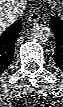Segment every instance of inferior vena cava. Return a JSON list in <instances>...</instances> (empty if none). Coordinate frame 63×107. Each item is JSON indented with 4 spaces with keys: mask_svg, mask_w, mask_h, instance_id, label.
<instances>
[{
    "mask_svg": "<svg viewBox=\"0 0 63 107\" xmlns=\"http://www.w3.org/2000/svg\"><path fill=\"white\" fill-rule=\"evenodd\" d=\"M26 6L25 1H20L18 2V5L15 6L12 9H9L6 12H2V16L7 17L11 22L16 21L17 19L20 18V16L23 14V10Z\"/></svg>",
    "mask_w": 63,
    "mask_h": 107,
    "instance_id": "inferior-vena-cava-1",
    "label": "inferior vena cava"
}]
</instances>
